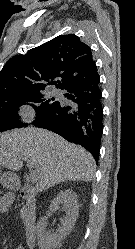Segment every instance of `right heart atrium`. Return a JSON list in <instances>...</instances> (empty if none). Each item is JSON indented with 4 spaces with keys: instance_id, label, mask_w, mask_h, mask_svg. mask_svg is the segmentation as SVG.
Returning a JSON list of instances; mask_svg holds the SVG:
<instances>
[{
    "instance_id": "right-heart-atrium-1",
    "label": "right heart atrium",
    "mask_w": 135,
    "mask_h": 249,
    "mask_svg": "<svg viewBox=\"0 0 135 249\" xmlns=\"http://www.w3.org/2000/svg\"><path fill=\"white\" fill-rule=\"evenodd\" d=\"M17 115L21 122L29 123L34 120L36 114L32 107L26 105L18 109Z\"/></svg>"
}]
</instances>
